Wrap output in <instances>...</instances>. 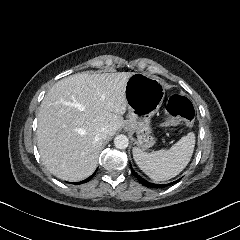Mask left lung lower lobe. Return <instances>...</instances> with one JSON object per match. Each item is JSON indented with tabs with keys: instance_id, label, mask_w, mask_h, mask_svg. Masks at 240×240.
<instances>
[{
	"instance_id": "left-lung-lower-lobe-1",
	"label": "left lung lower lobe",
	"mask_w": 240,
	"mask_h": 240,
	"mask_svg": "<svg viewBox=\"0 0 240 240\" xmlns=\"http://www.w3.org/2000/svg\"><path fill=\"white\" fill-rule=\"evenodd\" d=\"M132 174L138 179V181L141 183V184H143L144 186H146V187H150V188H161V187H165V186H167V185H172V184H174V183H176V182H178L180 179H178L177 181H175V182H172V183H169V184H167V185H163V186H161V185H156V184H153V183H149L148 181H146L145 179H143L141 176H139L133 169H132Z\"/></svg>"
}]
</instances>
